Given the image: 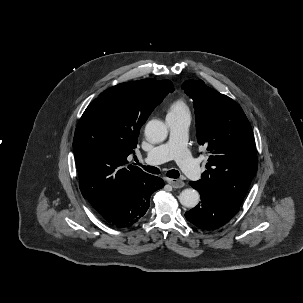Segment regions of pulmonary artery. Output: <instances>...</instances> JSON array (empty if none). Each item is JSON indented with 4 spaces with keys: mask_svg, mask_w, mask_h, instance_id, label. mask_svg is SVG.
<instances>
[{
    "mask_svg": "<svg viewBox=\"0 0 303 303\" xmlns=\"http://www.w3.org/2000/svg\"><path fill=\"white\" fill-rule=\"evenodd\" d=\"M166 122L169 128L168 140L149 151L144 161L156 165L174 159L188 177L200 179L201 169L187 148L190 116L167 117Z\"/></svg>",
    "mask_w": 303,
    "mask_h": 303,
    "instance_id": "e3ab8cb5",
    "label": "pulmonary artery"
}]
</instances>
